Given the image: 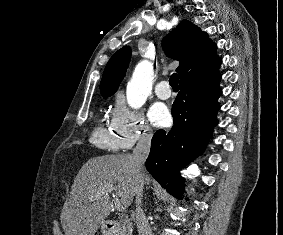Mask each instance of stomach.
<instances>
[{
    "mask_svg": "<svg viewBox=\"0 0 283 235\" xmlns=\"http://www.w3.org/2000/svg\"><path fill=\"white\" fill-rule=\"evenodd\" d=\"M101 233L102 235H112V230L108 227L107 223H103L101 225Z\"/></svg>",
    "mask_w": 283,
    "mask_h": 235,
    "instance_id": "1",
    "label": "stomach"
}]
</instances>
